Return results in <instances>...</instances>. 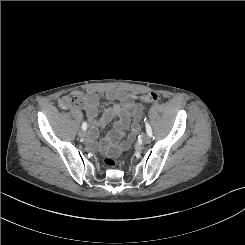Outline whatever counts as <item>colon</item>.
Returning <instances> with one entry per match:
<instances>
[{
  "instance_id": "obj_1",
  "label": "colon",
  "mask_w": 245,
  "mask_h": 245,
  "mask_svg": "<svg viewBox=\"0 0 245 245\" xmlns=\"http://www.w3.org/2000/svg\"><path fill=\"white\" fill-rule=\"evenodd\" d=\"M160 95L155 93V92H150V93H147V94H144L140 97V100L142 102H145V103H156L160 100ZM83 102V96L79 93H74V94H71L69 96H66L64 99H63V106L64 107H72V106H78L80 104H82ZM104 163L105 165L109 166V167H112L115 165V161L110 158V157H106L104 158Z\"/></svg>"
}]
</instances>
